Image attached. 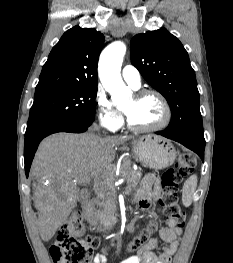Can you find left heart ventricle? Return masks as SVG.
<instances>
[{"label": "left heart ventricle", "instance_id": "left-heart-ventricle-1", "mask_svg": "<svg viewBox=\"0 0 233 263\" xmlns=\"http://www.w3.org/2000/svg\"><path fill=\"white\" fill-rule=\"evenodd\" d=\"M122 110L130 122L138 127L155 126L164 118V109L154 96L136 99L133 95Z\"/></svg>", "mask_w": 233, "mask_h": 263}]
</instances>
